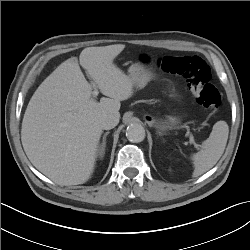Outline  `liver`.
I'll return each mask as SVG.
<instances>
[{
  "label": "liver",
  "instance_id": "1",
  "mask_svg": "<svg viewBox=\"0 0 250 250\" xmlns=\"http://www.w3.org/2000/svg\"><path fill=\"white\" fill-rule=\"evenodd\" d=\"M124 44L85 48L61 63L37 88L21 129L33 166L59 185L83 184L91 177L102 134L100 121L120 117L121 101L133 95V81L114 64ZM80 65L94 83L84 77ZM96 86L102 97H92Z\"/></svg>",
  "mask_w": 250,
  "mask_h": 250
}]
</instances>
